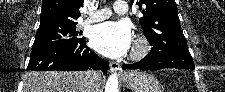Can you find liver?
Returning a JSON list of instances; mask_svg holds the SVG:
<instances>
[{
  "label": "liver",
  "instance_id": "liver-1",
  "mask_svg": "<svg viewBox=\"0 0 225 92\" xmlns=\"http://www.w3.org/2000/svg\"><path fill=\"white\" fill-rule=\"evenodd\" d=\"M102 84L101 74L96 71L28 72L23 92H99Z\"/></svg>",
  "mask_w": 225,
  "mask_h": 92
}]
</instances>
